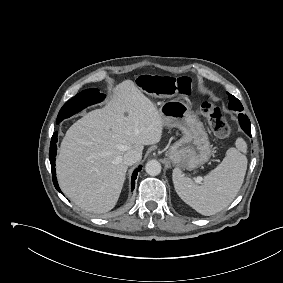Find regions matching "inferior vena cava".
Segmentation results:
<instances>
[{
	"label": "inferior vena cava",
	"mask_w": 283,
	"mask_h": 283,
	"mask_svg": "<svg viewBox=\"0 0 283 283\" xmlns=\"http://www.w3.org/2000/svg\"><path fill=\"white\" fill-rule=\"evenodd\" d=\"M140 153L135 150L127 151L123 156V162L127 166L136 163L140 159Z\"/></svg>",
	"instance_id": "inferior-vena-cava-1"
}]
</instances>
